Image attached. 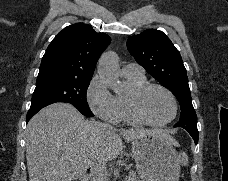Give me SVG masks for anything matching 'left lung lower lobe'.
<instances>
[{
  "mask_svg": "<svg viewBox=\"0 0 228 181\" xmlns=\"http://www.w3.org/2000/svg\"><path fill=\"white\" fill-rule=\"evenodd\" d=\"M186 131L192 136V138L194 139L195 144L198 143V130L195 129H186Z\"/></svg>",
  "mask_w": 228,
  "mask_h": 181,
  "instance_id": "left-lung-lower-lobe-1",
  "label": "left lung lower lobe"
}]
</instances>
